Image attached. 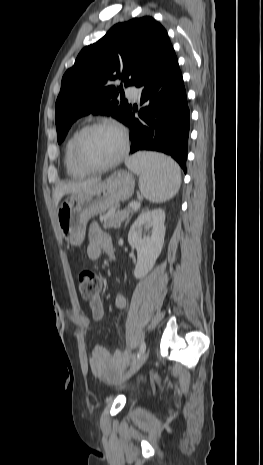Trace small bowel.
Here are the masks:
<instances>
[{"mask_svg":"<svg viewBox=\"0 0 263 465\" xmlns=\"http://www.w3.org/2000/svg\"><path fill=\"white\" fill-rule=\"evenodd\" d=\"M88 238L87 256L90 260L99 259L102 253H112V238L98 224H91ZM114 305L116 309L124 310L127 306L126 298L121 294L117 295L114 299ZM89 308L91 319L94 322H98L103 318L104 307L99 297L89 301ZM85 322H88V320H85ZM128 359L129 354L119 348L109 352L102 346H96L92 351L89 365L93 374L98 378L106 382H112L120 374Z\"/></svg>","mask_w":263,"mask_h":465,"instance_id":"small-bowel-1","label":"small bowel"}]
</instances>
